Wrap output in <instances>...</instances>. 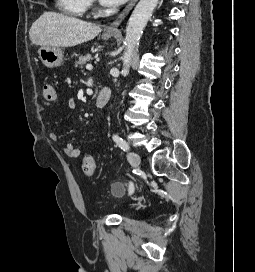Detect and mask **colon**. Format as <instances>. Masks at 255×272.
Returning a JSON list of instances; mask_svg holds the SVG:
<instances>
[{"instance_id":"obj_1","label":"colon","mask_w":255,"mask_h":272,"mask_svg":"<svg viewBox=\"0 0 255 272\" xmlns=\"http://www.w3.org/2000/svg\"><path fill=\"white\" fill-rule=\"evenodd\" d=\"M42 92H43V97L45 98V100L47 101H54L56 99V91L53 87L52 84L50 83H44L43 85V89H42ZM82 169H83V172L86 176L88 177H92L94 172H95V163H94V159L92 156H85L83 158V161H82ZM122 185L118 184L116 187H115V192L116 193H121L122 192Z\"/></svg>"}]
</instances>
